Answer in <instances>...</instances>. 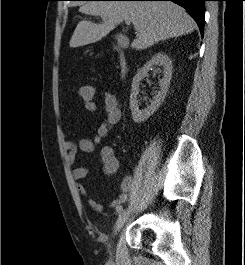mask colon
<instances>
[{"label": "colon", "instance_id": "obj_1", "mask_svg": "<svg viewBox=\"0 0 245 265\" xmlns=\"http://www.w3.org/2000/svg\"><path fill=\"white\" fill-rule=\"evenodd\" d=\"M96 89L93 85H83L78 89V94L84 103L94 101Z\"/></svg>", "mask_w": 245, "mask_h": 265}]
</instances>
